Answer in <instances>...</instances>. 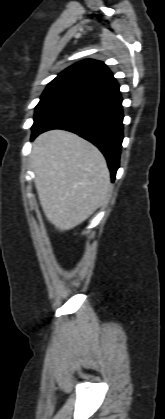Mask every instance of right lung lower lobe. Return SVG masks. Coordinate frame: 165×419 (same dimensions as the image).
<instances>
[{
    "label": "right lung lower lobe",
    "instance_id": "obj_1",
    "mask_svg": "<svg viewBox=\"0 0 165 419\" xmlns=\"http://www.w3.org/2000/svg\"><path fill=\"white\" fill-rule=\"evenodd\" d=\"M122 98L117 83L83 95L48 115L33 131V140L51 129L74 132L96 145L106 157L112 181L119 168L123 139Z\"/></svg>",
    "mask_w": 165,
    "mask_h": 419
}]
</instances>
